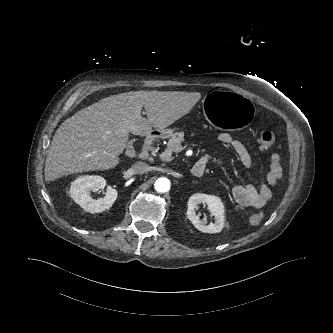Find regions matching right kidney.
<instances>
[{
	"label": "right kidney",
	"instance_id": "1",
	"mask_svg": "<svg viewBox=\"0 0 333 333\" xmlns=\"http://www.w3.org/2000/svg\"><path fill=\"white\" fill-rule=\"evenodd\" d=\"M106 186L103 177L97 175L81 176L70 187L71 198L84 210L90 213H99L109 209L117 199V190L107 186L105 196L94 200L90 197L91 191H98Z\"/></svg>",
	"mask_w": 333,
	"mask_h": 333
}]
</instances>
